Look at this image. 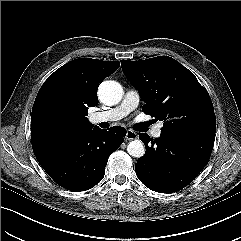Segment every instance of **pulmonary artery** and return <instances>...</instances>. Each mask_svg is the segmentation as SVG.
<instances>
[{
	"mask_svg": "<svg viewBox=\"0 0 241 241\" xmlns=\"http://www.w3.org/2000/svg\"><path fill=\"white\" fill-rule=\"evenodd\" d=\"M139 100H140V97L137 91L128 90L125 93L122 102L118 106L105 111L93 113L90 116V121L92 123L118 121L126 117L132 111H134L139 104ZM161 129H162V124L156 125L152 129V132H151L152 136L155 138L160 137Z\"/></svg>",
	"mask_w": 241,
	"mask_h": 241,
	"instance_id": "pulmonary-artery-1",
	"label": "pulmonary artery"
}]
</instances>
